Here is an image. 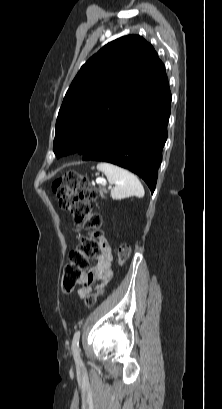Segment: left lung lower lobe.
<instances>
[{"mask_svg": "<svg viewBox=\"0 0 222 409\" xmlns=\"http://www.w3.org/2000/svg\"><path fill=\"white\" fill-rule=\"evenodd\" d=\"M171 93L164 81L128 102L97 134L83 160L109 162L140 176L153 193L167 139Z\"/></svg>", "mask_w": 222, "mask_h": 409, "instance_id": "obj_1", "label": "left lung lower lobe"}]
</instances>
